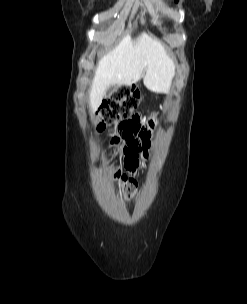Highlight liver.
Here are the masks:
<instances>
[{
    "instance_id": "liver-1",
    "label": "liver",
    "mask_w": 247,
    "mask_h": 304,
    "mask_svg": "<svg viewBox=\"0 0 247 304\" xmlns=\"http://www.w3.org/2000/svg\"><path fill=\"white\" fill-rule=\"evenodd\" d=\"M174 75V61L161 42L145 32L134 40L127 34L98 62L90 87V110H97L110 86H130L143 78L150 91L168 93Z\"/></svg>"
}]
</instances>
